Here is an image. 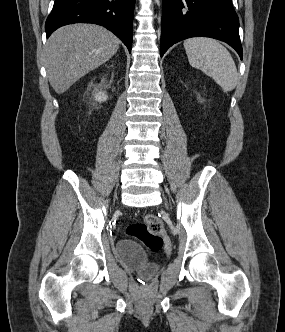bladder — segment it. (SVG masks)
I'll list each match as a JSON object with an SVG mask.
<instances>
[{"label": "bladder", "mask_w": 285, "mask_h": 332, "mask_svg": "<svg viewBox=\"0 0 285 332\" xmlns=\"http://www.w3.org/2000/svg\"><path fill=\"white\" fill-rule=\"evenodd\" d=\"M115 255L128 268L144 270L147 273L156 269V266L150 265L145 250L132 239L122 238L118 240L115 246Z\"/></svg>", "instance_id": "1"}]
</instances>
